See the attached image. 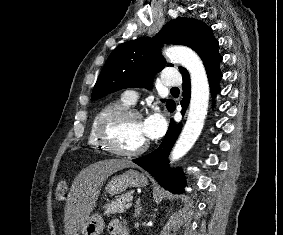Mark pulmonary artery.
<instances>
[{
  "label": "pulmonary artery",
  "instance_id": "1",
  "mask_svg": "<svg viewBox=\"0 0 283 235\" xmlns=\"http://www.w3.org/2000/svg\"><path fill=\"white\" fill-rule=\"evenodd\" d=\"M163 84L169 87H176L181 83L180 74L176 70H167L163 76ZM138 98V93L134 89H127L123 94V99L128 104H133Z\"/></svg>",
  "mask_w": 283,
  "mask_h": 235
}]
</instances>
